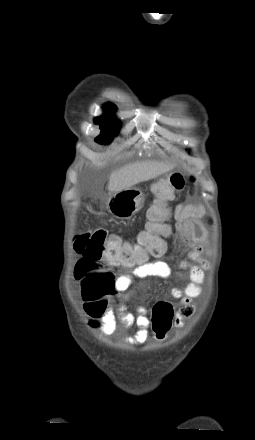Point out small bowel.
Masks as SVG:
<instances>
[{"label":"small bowel","mask_w":255,"mask_h":440,"mask_svg":"<svg viewBox=\"0 0 255 440\" xmlns=\"http://www.w3.org/2000/svg\"><path fill=\"white\" fill-rule=\"evenodd\" d=\"M203 215L204 207L202 204H178L174 208L175 224L173 225V230L181 237L183 243L190 248L187 260L180 262V266L188 270L190 282L185 286L174 287L171 290V295L179 301V308L174 316V326L177 329L182 328L185 321L195 313L196 307L193 304V300L201 294L205 270L209 268V262L203 256L204 249L202 243L206 236L201 222ZM170 230V227L166 228V234ZM162 243L164 245V253L166 246L163 241ZM170 273L168 264L163 261H149L148 257H146L143 263L137 265L130 272L118 276L114 281V288L120 293L122 300L117 314L113 309L109 308L101 315L100 319H92L90 325L99 328L100 332L105 336L113 334L119 325L123 328L135 326L136 332L132 336L127 337L125 341L130 345L145 343L149 339V311L144 307H138L136 313L130 312L123 303L129 298V294L124 292L131 288L136 278H165Z\"/></svg>","instance_id":"small-bowel-1"}]
</instances>
